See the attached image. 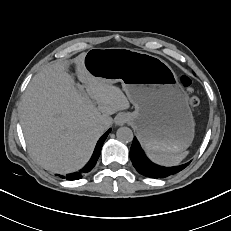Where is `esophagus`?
Listing matches in <instances>:
<instances>
[{
  "label": "esophagus",
  "mask_w": 231,
  "mask_h": 231,
  "mask_svg": "<svg viewBox=\"0 0 231 231\" xmlns=\"http://www.w3.org/2000/svg\"><path fill=\"white\" fill-rule=\"evenodd\" d=\"M126 122H127V116L124 115V114H121V115L117 116L116 119H115V123L117 125H123Z\"/></svg>",
  "instance_id": "esophagus-1"
}]
</instances>
